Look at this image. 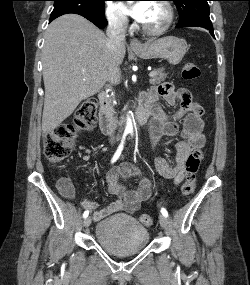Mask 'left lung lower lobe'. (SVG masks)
Masks as SVG:
<instances>
[{
    "label": "left lung lower lobe",
    "instance_id": "obj_1",
    "mask_svg": "<svg viewBox=\"0 0 250 285\" xmlns=\"http://www.w3.org/2000/svg\"><path fill=\"white\" fill-rule=\"evenodd\" d=\"M192 27H203V28H206L207 30H209L210 34L214 37L213 26H201V25H198V26H192Z\"/></svg>",
    "mask_w": 250,
    "mask_h": 285
}]
</instances>
